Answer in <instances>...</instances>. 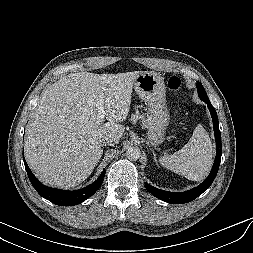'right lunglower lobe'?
<instances>
[{
	"mask_svg": "<svg viewBox=\"0 0 253 253\" xmlns=\"http://www.w3.org/2000/svg\"><path fill=\"white\" fill-rule=\"evenodd\" d=\"M23 160H24L25 169L27 171L29 180L32 183L35 190L43 198L51 201L52 203L56 205H61V206H73L85 201L87 198L93 195L101 187L102 182H103V177L105 176V170H104L101 173L99 179L93 182L92 184H90L89 186L79 189V190L65 191V190L50 188L41 184L31 172L24 157H23Z\"/></svg>",
	"mask_w": 253,
	"mask_h": 253,
	"instance_id": "98d812e1",
	"label": "right lung lower lobe"
}]
</instances>
